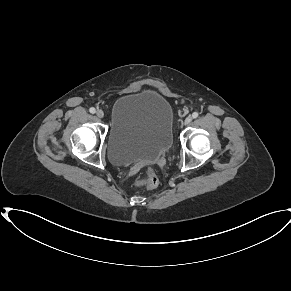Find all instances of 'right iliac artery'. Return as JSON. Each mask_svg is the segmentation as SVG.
<instances>
[{
    "mask_svg": "<svg viewBox=\"0 0 291 291\" xmlns=\"http://www.w3.org/2000/svg\"><path fill=\"white\" fill-rule=\"evenodd\" d=\"M89 111H90V113L94 114V113L96 112V109H95L94 107H91V108L89 109Z\"/></svg>",
    "mask_w": 291,
    "mask_h": 291,
    "instance_id": "obj_1",
    "label": "right iliac artery"
}]
</instances>
